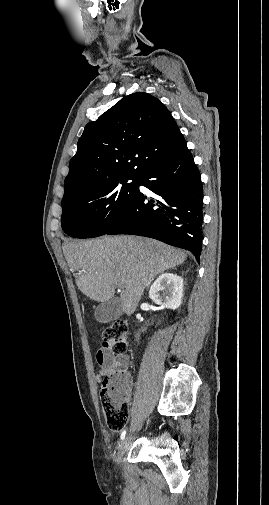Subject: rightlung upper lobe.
<instances>
[{
  "instance_id": "right-lung-upper-lobe-1",
  "label": "right lung upper lobe",
  "mask_w": 269,
  "mask_h": 505,
  "mask_svg": "<svg viewBox=\"0 0 269 505\" xmlns=\"http://www.w3.org/2000/svg\"><path fill=\"white\" fill-rule=\"evenodd\" d=\"M186 145L171 113L156 97L130 94L85 126L70 160L62 201L121 179H139L160 159Z\"/></svg>"
}]
</instances>
